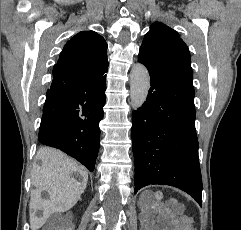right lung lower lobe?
I'll return each instance as SVG.
<instances>
[{
    "instance_id": "1",
    "label": "right lung lower lobe",
    "mask_w": 241,
    "mask_h": 230,
    "mask_svg": "<svg viewBox=\"0 0 241 230\" xmlns=\"http://www.w3.org/2000/svg\"><path fill=\"white\" fill-rule=\"evenodd\" d=\"M105 90L104 75L53 68L39 142L64 151L93 171L99 150V122L104 116Z\"/></svg>"
}]
</instances>
